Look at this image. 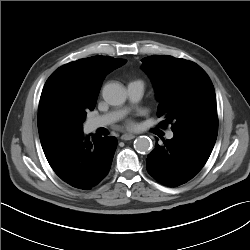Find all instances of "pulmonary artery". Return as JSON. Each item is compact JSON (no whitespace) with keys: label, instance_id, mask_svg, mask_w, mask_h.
<instances>
[{"label":"pulmonary artery","instance_id":"e3ab8cb5","mask_svg":"<svg viewBox=\"0 0 250 250\" xmlns=\"http://www.w3.org/2000/svg\"><path fill=\"white\" fill-rule=\"evenodd\" d=\"M143 93H144V85L141 81L136 80L128 83L127 94L131 102L139 101L142 98ZM123 113H124L123 110H116L98 116L96 118L89 119L88 127L90 130H96L101 127H106L117 121L119 118H121ZM173 135H174L173 132L169 131L167 133V138L171 139Z\"/></svg>","mask_w":250,"mask_h":250}]
</instances>
